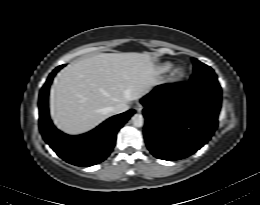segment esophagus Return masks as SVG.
<instances>
[{
	"mask_svg": "<svg viewBox=\"0 0 260 205\" xmlns=\"http://www.w3.org/2000/svg\"><path fill=\"white\" fill-rule=\"evenodd\" d=\"M135 109L137 110V112H141L143 109V105L141 103H137Z\"/></svg>",
	"mask_w": 260,
	"mask_h": 205,
	"instance_id": "34e87169",
	"label": "esophagus"
}]
</instances>
